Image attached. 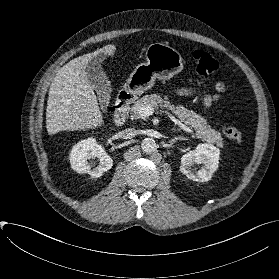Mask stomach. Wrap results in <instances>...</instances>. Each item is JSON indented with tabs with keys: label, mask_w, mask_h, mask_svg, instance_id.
Listing matches in <instances>:
<instances>
[{
	"label": "stomach",
	"mask_w": 279,
	"mask_h": 279,
	"mask_svg": "<svg viewBox=\"0 0 279 279\" xmlns=\"http://www.w3.org/2000/svg\"><path fill=\"white\" fill-rule=\"evenodd\" d=\"M146 63H142L130 75L128 84L134 90H147L156 78L166 80L180 73L184 60L180 53L163 43H152L146 50Z\"/></svg>",
	"instance_id": "stomach-1"
}]
</instances>
